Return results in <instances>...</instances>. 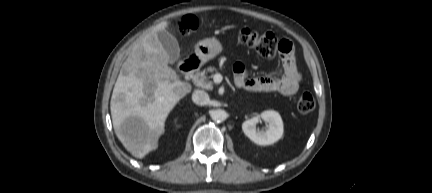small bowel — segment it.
<instances>
[{
  "mask_svg": "<svg viewBox=\"0 0 432 193\" xmlns=\"http://www.w3.org/2000/svg\"><path fill=\"white\" fill-rule=\"evenodd\" d=\"M283 72L278 76H259L249 78L245 65L236 62L233 66L235 82L238 87L249 91L278 92L283 95L295 94L302 77L298 71L292 50L288 55H282Z\"/></svg>",
  "mask_w": 432,
  "mask_h": 193,
  "instance_id": "obj_1",
  "label": "small bowel"
}]
</instances>
